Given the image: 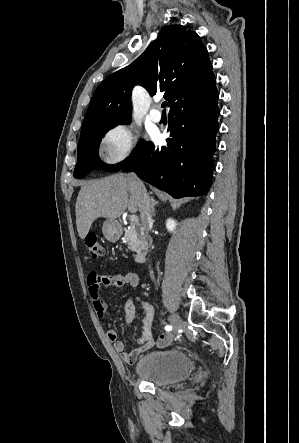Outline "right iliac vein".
Returning <instances> with one entry per match:
<instances>
[{"label": "right iliac vein", "mask_w": 299, "mask_h": 443, "mask_svg": "<svg viewBox=\"0 0 299 443\" xmlns=\"http://www.w3.org/2000/svg\"><path fill=\"white\" fill-rule=\"evenodd\" d=\"M170 321H171V324H172L174 330H176V331L179 330L183 326L182 319L176 314H172L170 316Z\"/></svg>", "instance_id": "63e3f726"}]
</instances>
